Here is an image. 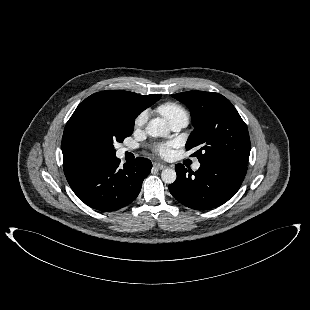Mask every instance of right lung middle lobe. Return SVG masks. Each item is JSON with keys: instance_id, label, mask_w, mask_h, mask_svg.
Returning <instances> with one entry per match:
<instances>
[{"instance_id": "obj_1", "label": "right lung middle lobe", "mask_w": 310, "mask_h": 310, "mask_svg": "<svg viewBox=\"0 0 310 310\" xmlns=\"http://www.w3.org/2000/svg\"><path fill=\"white\" fill-rule=\"evenodd\" d=\"M134 129V120L110 106L79 105L67 122L63 138V157L115 155L114 142H123Z\"/></svg>"}]
</instances>
